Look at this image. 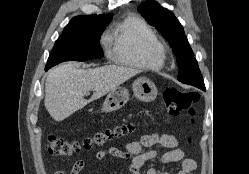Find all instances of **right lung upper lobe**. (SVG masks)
I'll use <instances>...</instances> for the list:
<instances>
[{"instance_id":"obj_1","label":"right lung upper lobe","mask_w":249,"mask_h":174,"mask_svg":"<svg viewBox=\"0 0 249 174\" xmlns=\"http://www.w3.org/2000/svg\"><path fill=\"white\" fill-rule=\"evenodd\" d=\"M112 20V15H79L74 17L70 23L65 27L63 32H69L72 30L80 29L96 22H110Z\"/></svg>"}]
</instances>
